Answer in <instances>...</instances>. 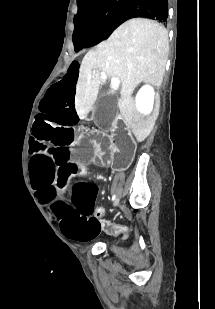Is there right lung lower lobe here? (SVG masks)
I'll return each instance as SVG.
<instances>
[{"mask_svg": "<svg viewBox=\"0 0 215 309\" xmlns=\"http://www.w3.org/2000/svg\"><path fill=\"white\" fill-rule=\"evenodd\" d=\"M135 17H144L165 23L168 17V0H132L122 12L116 25L118 27L126 20Z\"/></svg>", "mask_w": 215, "mask_h": 309, "instance_id": "1", "label": "right lung lower lobe"}]
</instances>
